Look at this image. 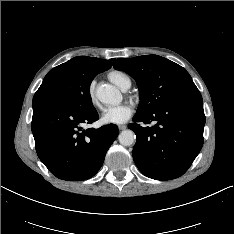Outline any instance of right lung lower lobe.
Returning <instances> with one entry per match:
<instances>
[{
  "mask_svg": "<svg viewBox=\"0 0 234 234\" xmlns=\"http://www.w3.org/2000/svg\"><path fill=\"white\" fill-rule=\"evenodd\" d=\"M98 120L93 107L79 110L57 102L33 104L31 130L40 160L57 178L81 181L94 176L118 136V127L82 129Z\"/></svg>",
  "mask_w": 234,
  "mask_h": 234,
  "instance_id": "right-lung-lower-lobe-1",
  "label": "right lung lower lobe"
}]
</instances>
